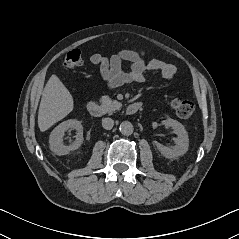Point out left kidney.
<instances>
[{"label": "left kidney", "mask_w": 239, "mask_h": 239, "mask_svg": "<svg viewBox=\"0 0 239 239\" xmlns=\"http://www.w3.org/2000/svg\"><path fill=\"white\" fill-rule=\"evenodd\" d=\"M161 124L165 127H171L177 134V138L175 139L176 145L172 147L158 145L157 150L168 159H176L177 157L184 155L189 147V138L184 126L177 120L171 118L163 120Z\"/></svg>", "instance_id": "left-kidney-1"}]
</instances>
